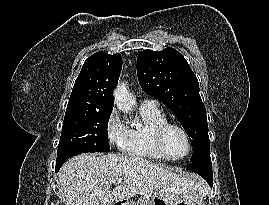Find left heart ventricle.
I'll list each match as a JSON object with an SVG mask.
<instances>
[{"label": "left heart ventricle", "instance_id": "obj_1", "mask_svg": "<svg viewBox=\"0 0 269 205\" xmlns=\"http://www.w3.org/2000/svg\"><path fill=\"white\" fill-rule=\"evenodd\" d=\"M164 146L166 151L173 157H182L187 152V142L176 128H170L165 134Z\"/></svg>", "mask_w": 269, "mask_h": 205}]
</instances>
